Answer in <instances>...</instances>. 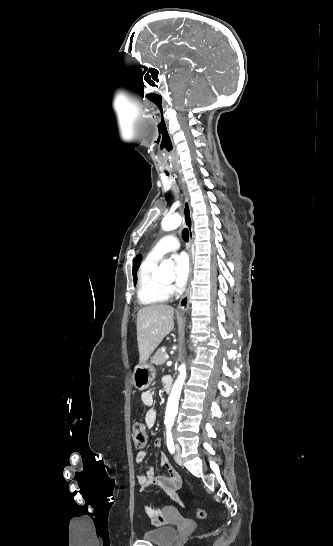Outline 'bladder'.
I'll return each mask as SVG.
<instances>
[{
  "label": "bladder",
  "mask_w": 333,
  "mask_h": 546,
  "mask_svg": "<svg viewBox=\"0 0 333 546\" xmlns=\"http://www.w3.org/2000/svg\"><path fill=\"white\" fill-rule=\"evenodd\" d=\"M178 537L176 528L172 526H160L146 531L143 538L158 546H167L172 544Z\"/></svg>",
  "instance_id": "31cf9c89"
}]
</instances>
